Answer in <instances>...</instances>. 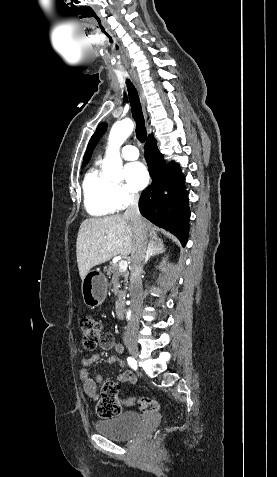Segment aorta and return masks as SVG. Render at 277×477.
<instances>
[{
  "label": "aorta",
  "instance_id": "aorta-1",
  "mask_svg": "<svg viewBox=\"0 0 277 477\" xmlns=\"http://www.w3.org/2000/svg\"><path fill=\"white\" fill-rule=\"evenodd\" d=\"M134 124L130 119H124L116 122L110 131L108 138V147L106 150V161L102 165L105 178L119 182L122 180V160L120 157V147L130 136ZM131 311L127 313L129 318Z\"/></svg>",
  "mask_w": 277,
  "mask_h": 477
}]
</instances>
